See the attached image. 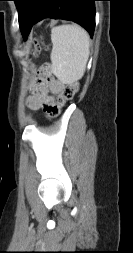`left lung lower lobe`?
I'll use <instances>...</instances> for the list:
<instances>
[{
    "mask_svg": "<svg viewBox=\"0 0 133 253\" xmlns=\"http://www.w3.org/2000/svg\"><path fill=\"white\" fill-rule=\"evenodd\" d=\"M95 1L98 0H24L18 11L23 38L27 39L36 22L48 17L74 21L92 37L95 28Z\"/></svg>",
    "mask_w": 133,
    "mask_h": 253,
    "instance_id": "left-lung-lower-lobe-1",
    "label": "left lung lower lobe"
}]
</instances>
